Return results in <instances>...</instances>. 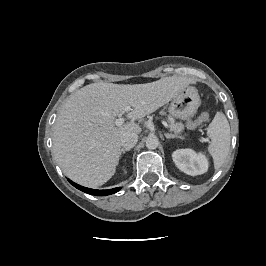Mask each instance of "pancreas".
Segmentation results:
<instances>
[{
	"mask_svg": "<svg viewBox=\"0 0 266 266\" xmlns=\"http://www.w3.org/2000/svg\"><path fill=\"white\" fill-rule=\"evenodd\" d=\"M169 121V128L171 131H174L175 133H180L184 129V125L180 122H175V120L172 117L168 118Z\"/></svg>",
	"mask_w": 266,
	"mask_h": 266,
	"instance_id": "cf45deb5",
	"label": "pancreas"
}]
</instances>
